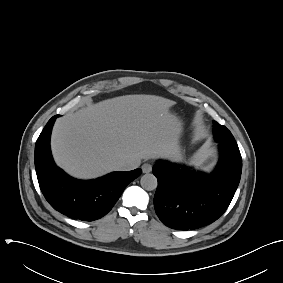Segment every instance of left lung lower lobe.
Wrapping results in <instances>:
<instances>
[{
    "instance_id": "left-lung-lower-lobe-1",
    "label": "left lung lower lobe",
    "mask_w": 283,
    "mask_h": 283,
    "mask_svg": "<svg viewBox=\"0 0 283 283\" xmlns=\"http://www.w3.org/2000/svg\"><path fill=\"white\" fill-rule=\"evenodd\" d=\"M152 171L158 179L154 207L159 219L173 229L193 230L225 212L240 181L242 158L239 149L220 143V159L210 175L163 161Z\"/></svg>"
}]
</instances>
